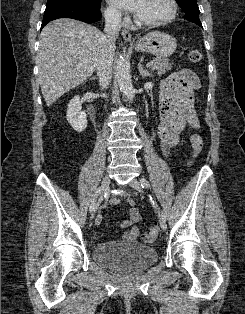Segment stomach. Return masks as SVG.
<instances>
[{
    "label": "stomach",
    "instance_id": "obj_1",
    "mask_svg": "<svg viewBox=\"0 0 245 314\" xmlns=\"http://www.w3.org/2000/svg\"><path fill=\"white\" fill-rule=\"evenodd\" d=\"M139 52L151 53L159 58H166L176 51V39L167 33L152 31L133 44Z\"/></svg>",
    "mask_w": 245,
    "mask_h": 314
}]
</instances>
